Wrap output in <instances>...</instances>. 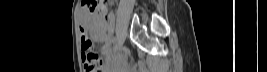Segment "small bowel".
I'll return each mask as SVG.
<instances>
[{
  "instance_id": "1",
  "label": "small bowel",
  "mask_w": 267,
  "mask_h": 72,
  "mask_svg": "<svg viewBox=\"0 0 267 72\" xmlns=\"http://www.w3.org/2000/svg\"><path fill=\"white\" fill-rule=\"evenodd\" d=\"M92 24L95 25L97 28L96 36L99 39H102L104 41V44L101 50V55L107 59L110 56V49H111L110 32L112 31L113 25H114L113 16L110 15L109 19H105V20H101V19L94 20L92 21ZM85 38H86L85 30H82L81 41H83ZM81 52H82V49H81ZM99 58H100L99 60L100 69L99 70L106 71L108 69L107 63L105 62L104 58H101V57ZM82 60L84 61L83 53H82Z\"/></svg>"
}]
</instances>
